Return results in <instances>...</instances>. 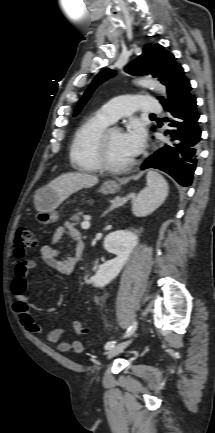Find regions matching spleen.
I'll list each match as a JSON object with an SVG mask.
<instances>
[{
	"instance_id": "3e777b00",
	"label": "spleen",
	"mask_w": 215,
	"mask_h": 433,
	"mask_svg": "<svg viewBox=\"0 0 215 433\" xmlns=\"http://www.w3.org/2000/svg\"><path fill=\"white\" fill-rule=\"evenodd\" d=\"M168 183L155 171L147 173V187L133 201L132 211L136 216H146L159 207L168 196Z\"/></svg>"
}]
</instances>
